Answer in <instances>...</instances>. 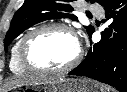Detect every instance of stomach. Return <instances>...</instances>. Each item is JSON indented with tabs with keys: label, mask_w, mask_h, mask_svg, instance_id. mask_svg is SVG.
I'll list each match as a JSON object with an SVG mask.
<instances>
[{
	"label": "stomach",
	"mask_w": 127,
	"mask_h": 92,
	"mask_svg": "<svg viewBox=\"0 0 127 92\" xmlns=\"http://www.w3.org/2000/svg\"><path fill=\"white\" fill-rule=\"evenodd\" d=\"M20 90V88H18ZM14 88L12 92H18ZM30 90V89H28ZM31 90L43 92H97L94 84L86 78H62L54 83L34 86Z\"/></svg>",
	"instance_id": "1"
}]
</instances>
